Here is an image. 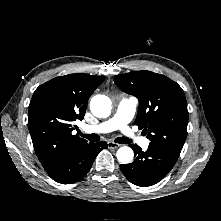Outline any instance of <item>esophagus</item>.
I'll return each mask as SVG.
<instances>
[{"label":"esophagus","mask_w":221,"mask_h":221,"mask_svg":"<svg viewBox=\"0 0 221 221\" xmlns=\"http://www.w3.org/2000/svg\"><path fill=\"white\" fill-rule=\"evenodd\" d=\"M107 146H108V148H109V149H117V148H119L121 145H120V144H117V143H114V142L109 141V142L107 143Z\"/></svg>","instance_id":"34e87169"}]
</instances>
